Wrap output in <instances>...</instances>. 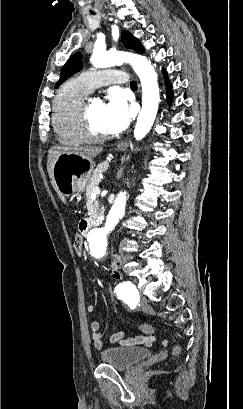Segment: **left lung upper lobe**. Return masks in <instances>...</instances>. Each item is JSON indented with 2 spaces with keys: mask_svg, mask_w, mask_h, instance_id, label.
I'll return each instance as SVG.
<instances>
[{
  "mask_svg": "<svg viewBox=\"0 0 243 409\" xmlns=\"http://www.w3.org/2000/svg\"><path fill=\"white\" fill-rule=\"evenodd\" d=\"M122 43L124 44L125 47L133 49L135 51L144 50L139 40L133 37L129 32L122 33ZM82 67H83L82 55L80 52H77L66 62V64L62 68L60 79L55 85V87L57 88L58 86H60L68 77L81 70Z\"/></svg>",
  "mask_w": 243,
  "mask_h": 409,
  "instance_id": "5c2ea615",
  "label": "left lung upper lobe"
}]
</instances>
